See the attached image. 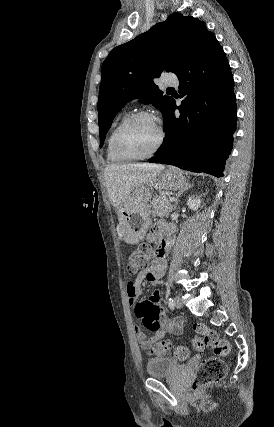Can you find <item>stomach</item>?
<instances>
[{"instance_id": "obj_1", "label": "stomach", "mask_w": 274, "mask_h": 427, "mask_svg": "<svg viewBox=\"0 0 274 427\" xmlns=\"http://www.w3.org/2000/svg\"><path fill=\"white\" fill-rule=\"evenodd\" d=\"M155 182L164 190H181V188L188 186L184 172L174 168V166H168L163 174H159L158 180ZM149 198V188L140 186L136 190L132 202H129V206H120L116 210L119 219V231L127 243H138L140 239H143L152 223L147 204Z\"/></svg>"}]
</instances>
